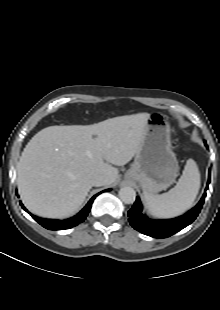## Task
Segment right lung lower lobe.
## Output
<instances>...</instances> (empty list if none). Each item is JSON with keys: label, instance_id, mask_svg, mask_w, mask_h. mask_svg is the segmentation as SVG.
I'll use <instances>...</instances> for the list:
<instances>
[{"label": "right lung lower lobe", "instance_id": "98d812e1", "mask_svg": "<svg viewBox=\"0 0 220 310\" xmlns=\"http://www.w3.org/2000/svg\"><path fill=\"white\" fill-rule=\"evenodd\" d=\"M104 191H109V190H104ZM100 193H102V192H100ZM100 193L94 195L90 199V201L86 204V206L77 215H75L74 217H71L69 219H66V220L43 219V218H39L37 216H34L31 213H29V214L40 225H42L44 228L49 229V230H64V229L72 228L74 226H77L79 223H81V222H83L85 220V218L87 217V215H88V213H89V211H90V209L92 207V203H93L94 199ZM20 205L22 206V208L26 212H28L21 202H20Z\"/></svg>", "mask_w": 220, "mask_h": 310}]
</instances>
